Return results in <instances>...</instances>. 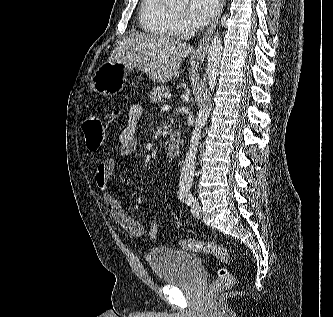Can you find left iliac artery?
Returning a JSON list of instances; mask_svg holds the SVG:
<instances>
[{
	"mask_svg": "<svg viewBox=\"0 0 333 317\" xmlns=\"http://www.w3.org/2000/svg\"><path fill=\"white\" fill-rule=\"evenodd\" d=\"M190 188V184H181L178 192L179 199L187 205H192L195 200L194 196L189 192Z\"/></svg>",
	"mask_w": 333,
	"mask_h": 317,
	"instance_id": "left-iliac-artery-1",
	"label": "left iliac artery"
}]
</instances>
